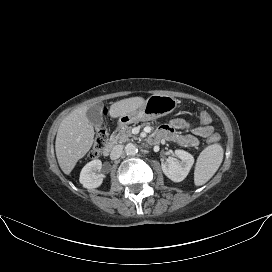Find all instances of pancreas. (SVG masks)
Returning <instances> with one entry per match:
<instances>
[{
    "label": "pancreas",
    "instance_id": "pancreas-1",
    "mask_svg": "<svg viewBox=\"0 0 272 272\" xmlns=\"http://www.w3.org/2000/svg\"><path fill=\"white\" fill-rule=\"evenodd\" d=\"M131 136H132L131 127L124 125L117 129L115 132H113V134L111 135V140L113 141V143L116 142L123 143L127 141ZM134 138L136 139L135 136Z\"/></svg>",
    "mask_w": 272,
    "mask_h": 272
}]
</instances>
